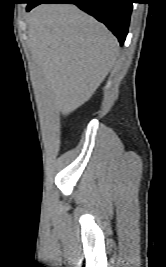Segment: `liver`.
<instances>
[{
	"mask_svg": "<svg viewBox=\"0 0 166 267\" xmlns=\"http://www.w3.org/2000/svg\"><path fill=\"white\" fill-rule=\"evenodd\" d=\"M32 57L41 68L56 110L83 105L114 66L116 37L74 5L45 4L29 18Z\"/></svg>",
	"mask_w": 166,
	"mask_h": 267,
	"instance_id": "obj_1",
	"label": "liver"
}]
</instances>
